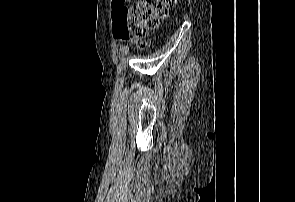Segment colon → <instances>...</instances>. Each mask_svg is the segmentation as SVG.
<instances>
[{
  "mask_svg": "<svg viewBox=\"0 0 295 202\" xmlns=\"http://www.w3.org/2000/svg\"><path fill=\"white\" fill-rule=\"evenodd\" d=\"M177 0H135L116 14L115 34L120 40L141 43L148 31L158 29Z\"/></svg>",
  "mask_w": 295,
  "mask_h": 202,
  "instance_id": "colon-1",
  "label": "colon"
}]
</instances>
